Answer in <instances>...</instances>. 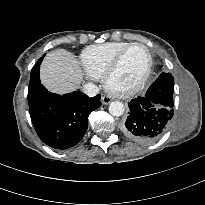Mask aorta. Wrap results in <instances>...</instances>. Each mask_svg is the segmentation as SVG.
I'll return each mask as SVG.
<instances>
[{"instance_id":"aorta-1","label":"aorta","mask_w":205,"mask_h":205,"mask_svg":"<svg viewBox=\"0 0 205 205\" xmlns=\"http://www.w3.org/2000/svg\"><path fill=\"white\" fill-rule=\"evenodd\" d=\"M108 110L112 116L119 117L124 113V105L120 101H113L109 104Z\"/></svg>"}]
</instances>
